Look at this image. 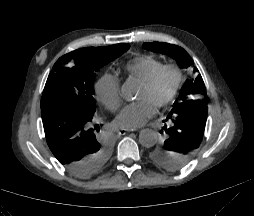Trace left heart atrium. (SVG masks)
Listing matches in <instances>:
<instances>
[{
	"mask_svg": "<svg viewBox=\"0 0 254 216\" xmlns=\"http://www.w3.org/2000/svg\"><path fill=\"white\" fill-rule=\"evenodd\" d=\"M155 108L147 99H140L124 107L116 124L122 128L132 129L143 125L153 116Z\"/></svg>",
	"mask_w": 254,
	"mask_h": 216,
	"instance_id": "1",
	"label": "left heart atrium"
}]
</instances>
